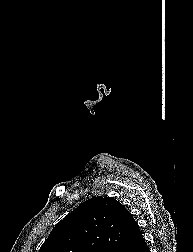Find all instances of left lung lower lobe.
Instances as JSON below:
<instances>
[{"label": "left lung lower lobe", "instance_id": "1", "mask_svg": "<svg viewBox=\"0 0 193 252\" xmlns=\"http://www.w3.org/2000/svg\"><path fill=\"white\" fill-rule=\"evenodd\" d=\"M122 252H150L139 230V227L135 229Z\"/></svg>", "mask_w": 193, "mask_h": 252}]
</instances>
